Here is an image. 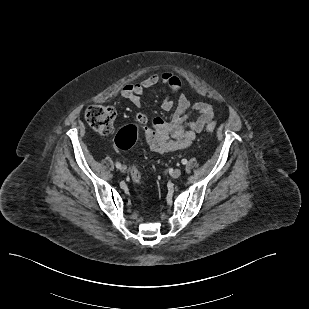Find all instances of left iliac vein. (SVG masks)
Instances as JSON below:
<instances>
[{
    "mask_svg": "<svg viewBox=\"0 0 309 309\" xmlns=\"http://www.w3.org/2000/svg\"><path fill=\"white\" fill-rule=\"evenodd\" d=\"M181 170L180 169H175L173 172H172V177L174 178V179H177V178H179L180 176H181Z\"/></svg>",
    "mask_w": 309,
    "mask_h": 309,
    "instance_id": "obj_1",
    "label": "left iliac vein"
}]
</instances>
